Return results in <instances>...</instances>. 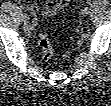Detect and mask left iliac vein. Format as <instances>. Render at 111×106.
Wrapping results in <instances>:
<instances>
[{
	"instance_id": "4c4485c4",
	"label": "left iliac vein",
	"mask_w": 111,
	"mask_h": 106,
	"mask_svg": "<svg viewBox=\"0 0 111 106\" xmlns=\"http://www.w3.org/2000/svg\"><path fill=\"white\" fill-rule=\"evenodd\" d=\"M90 10L88 7H85L83 10H82V15L83 16H87L89 14Z\"/></svg>"
}]
</instances>
